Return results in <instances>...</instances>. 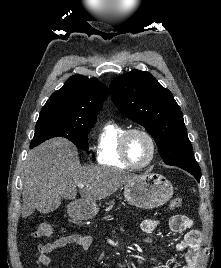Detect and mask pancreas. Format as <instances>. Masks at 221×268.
<instances>
[{
    "label": "pancreas",
    "mask_w": 221,
    "mask_h": 268,
    "mask_svg": "<svg viewBox=\"0 0 221 268\" xmlns=\"http://www.w3.org/2000/svg\"><path fill=\"white\" fill-rule=\"evenodd\" d=\"M112 209V205L106 208V211H110Z\"/></svg>",
    "instance_id": "cf45deb5"
}]
</instances>
